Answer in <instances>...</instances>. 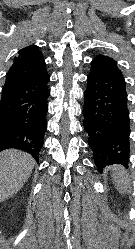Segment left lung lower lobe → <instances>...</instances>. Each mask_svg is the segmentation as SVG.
I'll return each mask as SVG.
<instances>
[{
    "label": "left lung lower lobe",
    "instance_id": "obj_1",
    "mask_svg": "<svg viewBox=\"0 0 135 249\" xmlns=\"http://www.w3.org/2000/svg\"><path fill=\"white\" fill-rule=\"evenodd\" d=\"M84 98V129L96 167L128 165L130 119L123 75L91 62Z\"/></svg>",
    "mask_w": 135,
    "mask_h": 249
}]
</instances>
